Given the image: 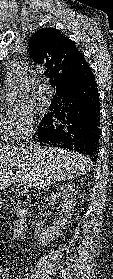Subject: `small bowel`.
I'll use <instances>...</instances> for the list:
<instances>
[{"mask_svg": "<svg viewBox=\"0 0 113 279\" xmlns=\"http://www.w3.org/2000/svg\"><path fill=\"white\" fill-rule=\"evenodd\" d=\"M0 269V279H8V270L6 268Z\"/></svg>", "mask_w": 113, "mask_h": 279, "instance_id": "obj_1", "label": "small bowel"}]
</instances>
